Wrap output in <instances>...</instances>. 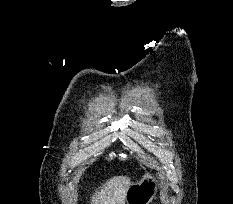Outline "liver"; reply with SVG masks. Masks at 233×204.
I'll return each mask as SVG.
<instances>
[{
	"label": "liver",
	"instance_id": "liver-1",
	"mask_svg": "<svg viewBox=\"0 0 233 204\" xmlns=\"http://www.w3.org/2000/svg\"><path fill=\"white\" fill-rule=\"evenodd\" d=\"M130 184V178L127 176L112 177L92 196L91 204H125Z\"/></svg>",
	"mask_w": 233,
	"mask_h": 204
}]
</instances>
